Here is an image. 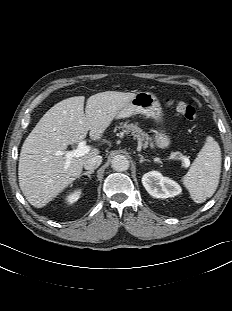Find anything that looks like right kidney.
<instances>
[{
  "label": "right kidney",
  "mask_w": 232,
  "mask_h": 311,
  "mask_svg": "<svg viewBox=\"0 0 232 311\" xmlns=\"http://www.w3.org/2000/svg\"><path fill=\"white\" fill-rule=\"evenodd\" d=\"M80 194H81V190H75L73 193L69 194L66 197V201L69 204H72V203L76 202L79 199Z\"/></svg>",
  "instance_id": "obj_1"
}]
</instances>
